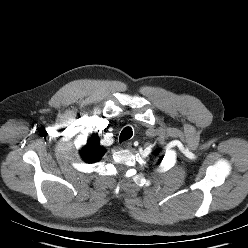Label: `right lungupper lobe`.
Listing matches in <instances>:
<instances>
[{
	"instance_id": "right-lung-upper-lobe-1",
	"label": "right lung upper lobe",
	"mask_w": 248,
	"mask_h": 248,
	"mask_svg": "<svg viewBox=\"0 0 248 248\" xmlns=\"http://www.w3.org/2000/svg\"><path fill=\"white\" fill-rule=\"evenodd\" d=\"M82 159L87 163L99 161L105 154V150L100 146V139L97 134H93L90 141L82 147L80 151Z\"/></svg>"
}]
</instances>
